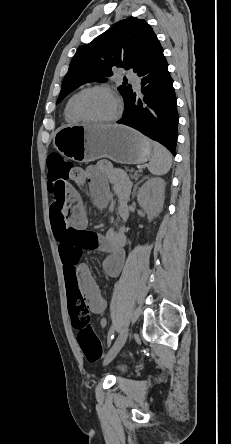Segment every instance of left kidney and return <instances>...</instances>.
<instances>
[{"mask_svg": "<svg viewBox=\"0 0 231 444\" xmlns=\"http://www.w3.org/2000/svg\"><path fill=\"white\" fill-rule=\"evenodd\" d=\"M165 199V182L162 178H150L139 189L137 201L152 221L161 212Z\"/></svg>", "mask_w": 231, "mask_h": 444, "instance_id": "5707ae66", "label": "left kidney"}]
</instances>
